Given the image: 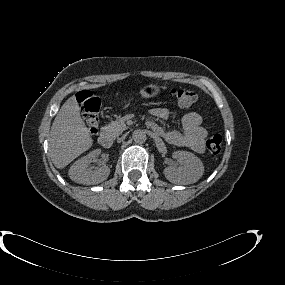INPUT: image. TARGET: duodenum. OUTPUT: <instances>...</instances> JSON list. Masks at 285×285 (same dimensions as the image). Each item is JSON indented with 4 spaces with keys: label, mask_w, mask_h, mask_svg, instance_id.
Wrapping results in <instances>:
<instances>
[{
    "label": "duodenum",
    "mask_w": 285,
    "mask_h": 285,
    "mask_svg": "<svg viewBox=\"0 0 285 285\" xmlns=\"http://www.w3.org/2000/svg\"><path fill=\"white\" fill-rule=\"evenodd\" d=\"M98 140L99 143L104 147H110L112 144L110 134L105 131L100 133Z\"/></svg>",
    "instance_id": "obj_1"
}]
</instances>
